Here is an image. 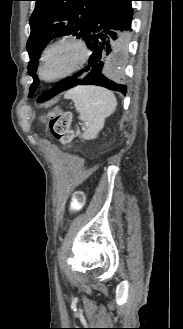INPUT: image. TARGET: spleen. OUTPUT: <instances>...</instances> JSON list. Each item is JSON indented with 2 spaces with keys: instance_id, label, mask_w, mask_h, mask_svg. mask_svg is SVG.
I'll list each match as a JSON object with an SVG mask.
<instances>
[{
  "instance_id": "obj_1",
  "label": "spleen",
  "mask_w": 183,
  "mask_h": 329,
  "mask_svg": "<svg viewBox=\"0 0 183 329\" xmlns=\"http://www.w3.org/2000/svg\"><path fill=\"white\" fill-rule=\"evenodd\" d=\"M65 99H71L79 113V119L86 124L81 134L84 140L95 139L103 128L105 119L111 115L117 106L114 94L102 87L78 86L65 94Z\"/></svg>"
}]
</instances>
